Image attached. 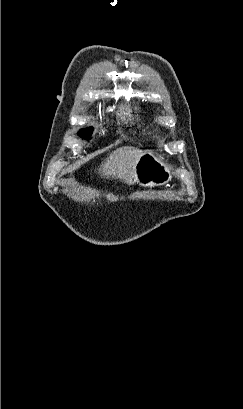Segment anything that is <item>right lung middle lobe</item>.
<instances>
[{
	"instance_id": "right-lung-middle-lobe-1",
	"label": "right lung middle lobe",
	"mask_w": 243,
	"mask_h": 409,
	"mask_svg": "<svg viewBox=\"0 0 243 409\" xmlns=\"http://www.w3.org/2000/svg\"><path fill=\"white\" fill-rule=\"evenodd\" d=\"M92 132H93V128L90 127V128H86V129L80 130V132H79L78 135H79L80 137H85V138H87V139H90V136H91Z\"/></svg>"
}]
</instances>
